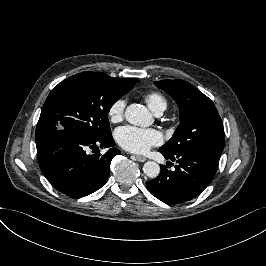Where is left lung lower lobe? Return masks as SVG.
Listing matches in <instances>:
<instances>
[{
    "instance_id": "left-lung-lower-lobe-1",
    "label": "left lung lower lobe",
    "mask_w": 266,
    "mask_h": 266,
    "mask_svg": "<svg viewBox=\"0 0 266 266\" xmlns=\"http://www.w3.org/2000/svg\"><path fill=\"white\" fill-rule=\"evenodd\" d=\"M159 151L166 159H178V165L173 171L162 165L158 177L147 181L146 186L155 197L167 204H180L197 197L214 177L221 156L200 148L175 154L161 148Z\"/></svg>"
}]
</instances>
